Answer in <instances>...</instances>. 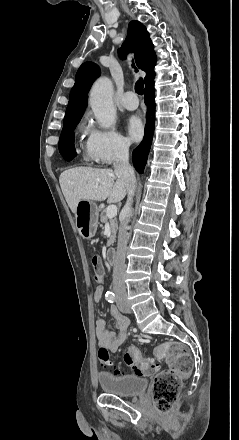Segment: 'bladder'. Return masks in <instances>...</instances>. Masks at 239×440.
Segmentation results:
<instances>
[{"mask_svg": "<svg viewBox=\"0 0 239 440\" xmlns=\"http://www.w3.org/2000/svg\"><path fill=\"white\" fill-rule=\"evenodd\" d=\"M98 383L103 391L121 397L142 394L148 386V380L136 376H119L107 371L98 373Z\"/></svg>", "mask_w": 239, "mask_h": 440, "instance_id": "bladder-1", "label": "bladder"}]
</instances>
